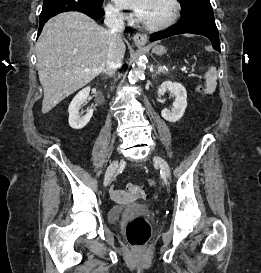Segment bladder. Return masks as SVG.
<instances>
[{
  "label": "bladder",
  "mask_w": 261,
  "mask_h": 273,
  "mask_svg": "<svg viewBox=\"0 0 261 273\" xmlns=\"http://www.w3.org/2000/svg\"><path fill=\"white\" fill-rule=\"evenodd\" d=\"M139 206L131 205V204H116L114 205L109 212V220L111 222H117L124 212L129 210L130 208H137Z\"/></svg>",
  "instance_id": "31cf9c89"
}]
</instances>
